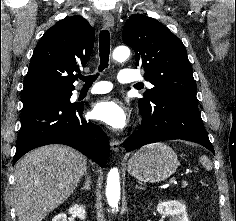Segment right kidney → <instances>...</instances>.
I'll return each mask as SVG.
<instances>
[{"mask_svg":"<svg viewBox=\"0 0 236 221\" xmlns=\"http://www.w3.org/2000/svg\"><path fill=\"white\" fill-rule=\"evenodd\" d=\"M69 214L74 217H78L80 220H85L86 218V210L85 206L75 204L74 206L70 207L68 210ZM52 221H67V216L64 213H60L56 215Z\"/></svg>","mask_w":236,"mask_h":221,"instance_id":"ca27d5eb","label":"right kidney"}]
</instances>
